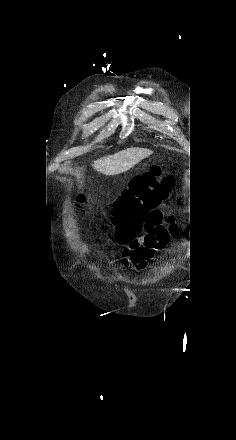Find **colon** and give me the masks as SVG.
Here are the masks:
<instances>
[{"instance_id": "5ec220e1", "label": "colon", "mask_w": 236, "mask_h": 440, "mask_svg": "<svg viewBox=\"0 0 236 440\" xmlns=\"http://www.w3.org/2000/svg\"><path fill=\"white\" fill-rule=\"evenodd\" d=\"M172 181L159 165L132 179L117 199L112 213L111 223L118 243H126L136 236L147 214L165 198Z\"/></svg>"}]
</instances>
